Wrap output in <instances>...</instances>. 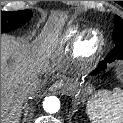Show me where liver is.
Instances as JSON below:
<instances>
[{
  "instance_id": "liver-1",
  "label": "liver",
  "mask_w": 123,
  "mask_h": 123,
  "mask_svg": "<svg viewBox=\"0 0 123 123\" xmlns=\"http://www.w3.org/2000/svg\"><path fill=\"white\" fill-rule=\"evenodd\" d=\"M52 39L46 34L41 49L31 50L28 42L1 36V123H18L27 95L22 90L26 79L40 74L64 70L61 60L49 52L45 55V42Z\"/></svg>"
}]
</instances>
